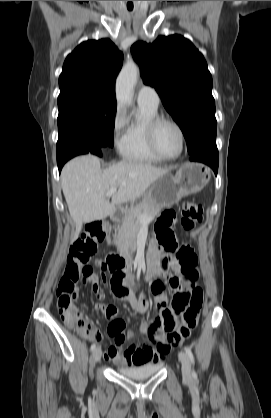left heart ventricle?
<instances>
[{
    "mask_svg": "<svg viewBox=\"0 0 271 418\" xmlns=\"http://www.w3.org/2000/svg\"><path fill=\"white\" fill-rule=\"evenodd\" d=\"M157 144L167 156H175L181 146L177 130L170 124H162L157 132Z\"/></svg>",
    "mask_w": 271,
    "mask_h": 418,
    "instance_id": "b2bd125f",
    "label": "left heart ventricle"
}]
</instances>
